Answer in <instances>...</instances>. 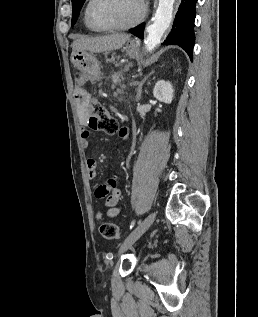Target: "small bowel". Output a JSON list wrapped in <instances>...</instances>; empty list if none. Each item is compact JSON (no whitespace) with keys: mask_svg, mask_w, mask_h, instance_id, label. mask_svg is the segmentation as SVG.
I'll return each instance as SVG.
<instances>
[{"mask_svg":"<svg viewBox=\"0 0 258 317\" xmlns=\"http://www.w3.org/2000/svg\"><path fill=\"white\" fill-rule=\"evenodd\" d=\"M120 136L125 138L127 136V129L121 128ZM81 144L83 148H88L90 145V133L83 129L81 132ZM97 163L93 158L86 161V171L90 179L96 177ZM121 189L118 187L116 177L108 179L106 183L97 186L95 189V196L98 199L105 198L104 206L107 208V215L110 218L117 216L120 212L119 202L121 199Z\"/></svg>","mask_w":258,"mask_h":317,"instance_id":"small-bowel-1","label":"small bowel"}]
</instances>
